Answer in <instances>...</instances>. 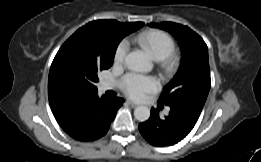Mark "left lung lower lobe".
<instances>
[{
    "label": "left lung lower lobe",
    "mask_w": 261,
    "mask_h": 162,
    "mask_svg": "<svg viewBox=\"0 0 261 162\" xmlns=\"http://www.w3.org/2000/svg\"><path fill=\"white\" fill-rule=\"evenodd\" d=\"M169 115L160 118L152 108L151 116L139 125L141 135L153 146H171L181 141L194 128L201 111L192 105L179 102L170 106Z\"/></svg>",
    "instance_id": "left-lung-lower-lobe-1"
}]
</instances>
